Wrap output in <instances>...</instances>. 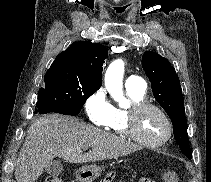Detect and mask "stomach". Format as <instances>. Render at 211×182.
I'll use <instances>...</instances> for the list:
<instances>
[{
  "mask_svg": "<svg viewBox=\"0 0 211 182\" xmlns=\"http://www.w3.org/2000/svg\"><path fill=\"white\" fill-rule=\"evenodd\" d=\"M102 167L97 165H87L81 167L77 171V179L79 182H93L101 175Z\"/></svg>",
  "mask_w": 211,
  "mask_h": 182,
  "instance_id": "1",
  "label": "stomach"
}]
</instances>
